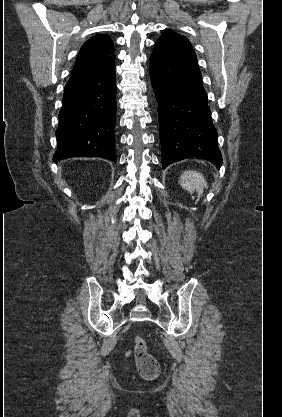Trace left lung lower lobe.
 I'll use <instances>...</instances> for the list:
<instances>
[{
	"mask_svg": "<svg viewBox=\"0 0 282 417\" xmlns=\"http://www.w3.org/2000/svg\"><path fill=\"white\" fill-rule=\"evenodd\" d=\"M150 77L159 104L163 169L190 157L208 160L219 169L217 131L191 45L156 42Z\"/></svg>",
	"mask_w": 282,
	"mask_h": 417,
	"instance_id": "1",
	"label": "left lung lower lobe"
}]
</instances>
